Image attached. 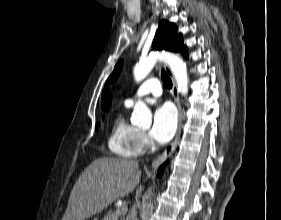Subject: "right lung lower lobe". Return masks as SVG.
Returning <instances> with one entry per match:
<instances>
[{
  "label": "right lung lower lobe",
  "mask_w": 281,
  "mask_h": 220,
  "mask_svg": "<svg viewBox=\"0 0 281 220\" xmlns=\"http://www.w3.org/2000/svg\"><path fill=\"white\" fill-rule=\"evenodd\" d=\"M165 165H166V164H163L162 166L159 167L158 173H157V176H158V177H161V176H162V174H163V172H164V169H165Z\"/></svg>",
  "instance_id": "1"
}]
</instances>
